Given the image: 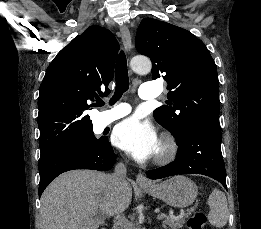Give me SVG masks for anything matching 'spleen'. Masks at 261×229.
<instances>
[{
	"mask_svg": "<svg viewBox=\"0 0 261 229\" xmlns=\"http://www.w3.org/2000/svg\"><path fill=\"white\" fill-rule=\"evenodd\" d=\"M208 205L211 209L208 215L210 225H214V227H218V229L225 227V225H227L229 211L224 193L219 191V189H214L208 199Z\"/></svg>",
	"mask_w": 261,
	"mask_h": 229,
	"instance_id": "obj_1",
	"label": "spleen"
}]
</instances>
